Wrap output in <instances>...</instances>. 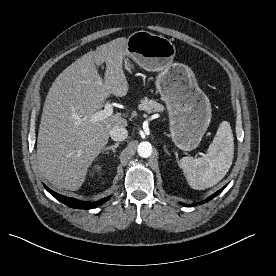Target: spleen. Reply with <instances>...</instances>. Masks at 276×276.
Here are the masks:
<instances>
[{
	"label": "spleen",
	"mask_w": 276,
	"mask_h": 276,
	"mask_svg": "<svg viewBox=\"0 0 276 276\" xmlns=\"http://www.w3.org/2000/svg\"><path fill=\"white\" fill-rule=\"evenodd\" d=\"M234 157V137L229 122L220 123L216 135L203 157H183L178 165L193 189L216 185L229 171Z\"/></svg>",
	"instance_id": "1"
}]
</instances>
